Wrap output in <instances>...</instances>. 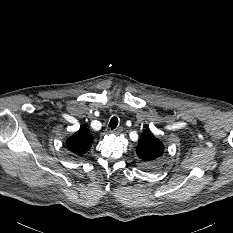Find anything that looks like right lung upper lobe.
<instances>
[{
	"mask_svg": "<svg viewBox=\"0 0 233 233\" xmlns=\"http://www.w3.org/2000/svg\"><path fill=\"white\" fill-rule=\"evenodd\" d=\"M93 137L89 131L82 127L66 141L67 148L77 155L85 154L92 146Z\"/></svg>",
	"mask_w": 233,
	"mask_h": 233,
	"instance_id": "right-lung-upper-lobe-1",
	"label": "right lung upper lobe"
}]
</instances>
